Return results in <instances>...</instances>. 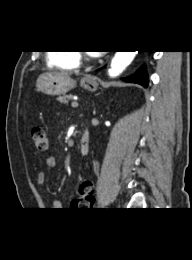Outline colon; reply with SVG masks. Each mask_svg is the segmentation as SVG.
<instances>
[{
	"label": "colon",
	"mask_w": 192,
	"mask_h": 260,
	"mask_svg": "<svg viewBox=\"0 0 192 260\" xmlns=\"http://www.w3.org/2000/svg\"><path fill=\"white\" fill-rule=\"evenodd\" d=\"M32 139L35 150L38 153H44L49 149V138L42 127H34L32 129ZM85 198L94 199L93 196V185L90 181H84L78 188L77 201H81Z\"/></svg>",
	"instance_id": "obj_1"
}]
</instances>
